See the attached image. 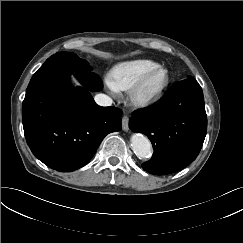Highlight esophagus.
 <instances>
[{
	"label": "esophagus",
	"mask_w": 243,
	"mask_h": 243,
	"mask_svg": "<svg viewBox=\"0 0 243 243\" xmlns=\"http://www.w3.org/2000/svg\"><path fill=\"white\" fill-rule=\"evenodd\" d=\"M122 129L124 131L129 130V117L127 115H123L122 117Z\"/></svg>",
	"instance_id": "1"
}]
</instances>
